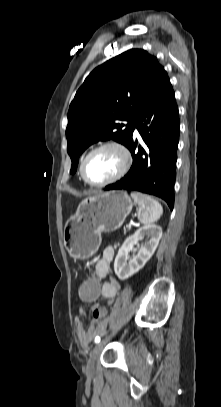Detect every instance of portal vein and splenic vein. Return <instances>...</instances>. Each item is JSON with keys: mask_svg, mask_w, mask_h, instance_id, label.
<instances>
[{"mask_svg": "<svg viewBox=\"0 0 221 407\" xmlns=\"http://www.w3.org/2000/svg\"><path fill=\"white\" fill-rule=\"evenodd\" d=\"M131 226H132L131 223H129V224L127 225V228H128V229H131Z\"/></svg>", "mask_w": 221, "mask_h": 407, "instance_id": "obj_1", "label": "portal vein and splenic vein"}]
</instances>
